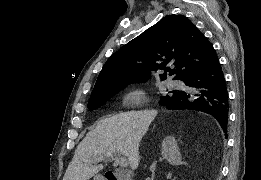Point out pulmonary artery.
<instances>
[{
	"label": "pulmonary artery",
	"mask_w": 261,
	"mask_h": 180,
	"mask_svg": "<svg viewBox=\"0 0 261 180\" xmlns=\"http://www.w3.org/2000/svg\"><path fill=\"white\" fill-rule=\"evenodd\" d=\"M178 83H179V82H177V81H171V82H170V85H171V86H176V85H178Z\"/></svg>",
	"instance_id": "pulmonary-artery-1"
}]
</instances>
